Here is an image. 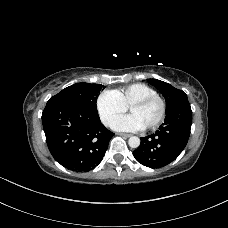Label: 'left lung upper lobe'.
Segmentation results:
<instances>
[{"instance_id":"obj_1","label":"left lung upper lobe","mask_w":228,"mask_h":228,"mask_svg":"<svg viewBox=\"0 0 228 228\" xmlns=\"http://www.w3.org/2000/svg\"><path fill=\"white\" fill-rule=\"evenodd\" d=\"M147 81L156 87L165 97L166 114L172 112L175 117H178L181 113L180 106L188 102L187 95L182 90H178L166 82L157 79H147Z\"/></svg>"}]
</instances>
